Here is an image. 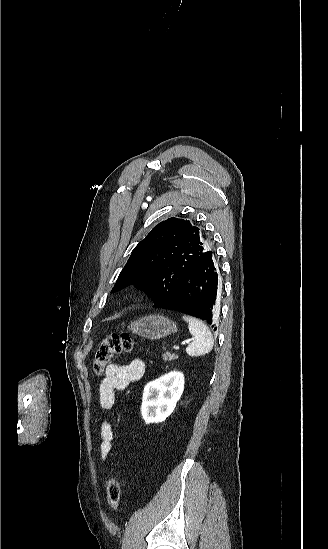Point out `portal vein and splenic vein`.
<instances>
[{"mask_svg": "<svg viewBox=\"0 0 328 549\" xmlns=\"http://www.w3.org/2000/svg\"><path fill=\"white\" fill-rule=\"evenodd\" d=\"M191 341H192V339H189L188 341H183V343H181V345H185V343H191ZM174 349H175L176 351H179L178 345H175V346H174Z\"/></svg>", "mask_w": 328, "mask_h": 549, "instance_id": "18ae733b", "label": "portal vein and splenic vein"}]
</instances>
